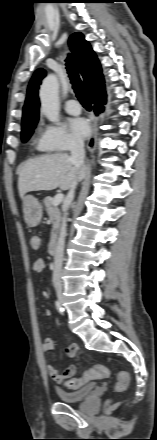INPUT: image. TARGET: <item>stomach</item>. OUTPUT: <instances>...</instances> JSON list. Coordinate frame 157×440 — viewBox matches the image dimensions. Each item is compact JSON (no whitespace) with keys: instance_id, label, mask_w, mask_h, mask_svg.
<instances>
[{"instance_id":"0dacf381","label":"stomach","mask_w":157,"mask_h":440,"mask_svg":"<svg viewBox=\"0 0 157 440\" xmlns=\"http://www.w3.org/2000/svg\"><path fill=\"white\" fill-rule=\"evenodd\" d=\"M22 207L27 225L36 227L42 218L43 210L41 204L35 197L28 195L22 199Z\"/></svg>"}]
</instances>
